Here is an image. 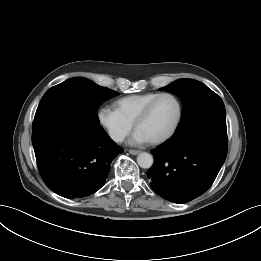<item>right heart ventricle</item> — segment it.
Returning a JSON list of instances; mask_svg holds the SVG:
<instances>
[{
    "mask_svg": "<svg viewBox=\"0 0 261 261\" xmlns=\"http://www.w3.org/2000/svg\"><path fill=\"white\" fill-rule=\"evenodd\" d=\"M158 94V92H148L124 96L117 99L113 106L124 119L133 124L142 109Z\"/></svg>",
    "mask_w": 261,
    "mask_h": 261,
    "instance_id": "1",
    "label": "right heart ventricle"
}]
</instances>
